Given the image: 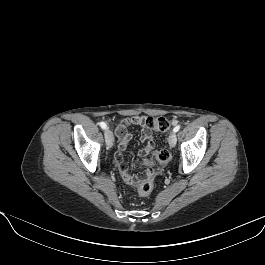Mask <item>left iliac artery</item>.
<instances>
[{"label":"left iliac artery","instance_id":"left-iliac-artery-1","mask_svg":"<svg viewBox=\"0 0 265 265\" xmlns=\"http://www.w3.org/2000/svg\"><path fill=\"white\" fill-rule=\"evenodd\" d=\"M181 126L180 125H177L176 127H174L173 131L174 132H178L180 130Z\"/></svg>","mask_w":265,"mask_h":265}]
</instances>
